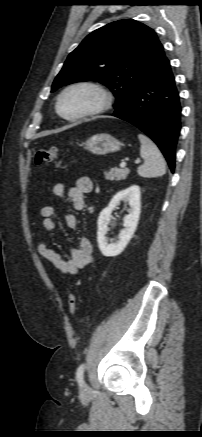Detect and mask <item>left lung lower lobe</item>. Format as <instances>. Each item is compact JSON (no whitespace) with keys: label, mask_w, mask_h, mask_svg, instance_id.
I'll use <instances>...</instances> for the list:
<instances>
[{"label":"left lung lower lobe","mask_w":202,"mask_h":437,"mask_svg":"<svg viewBox=\"0 0 202 437\" xmlns=\"http://www.w3.org/2000/svg\"><path fill=\"white\" fill-rule=\"evenodd\" d=\"M148 135L175 168V148L181 128V106L169 60L112 114Z\"/></svg>","instance_id":"0a47b994"}]
</instances>
